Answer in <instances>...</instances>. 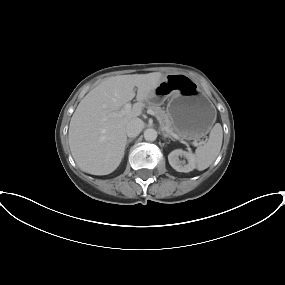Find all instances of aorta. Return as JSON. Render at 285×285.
<instances>
[{
	"mask_svg": "<svg viewBox=\"0 0 285 285\" xmlns=\"http://www.w3.org/2000/svg\"><path fill=\"white\" fill-rule=\"evenodd\" d=\"M157 138V131L153 128H148L144 131V139L146 141H155Z\"/></svg>",
	"mask_w": 285,
	"mask_h": 285,
	"instance_id": "aorta-1",
	"label": "aorta"
}]
</instances>
